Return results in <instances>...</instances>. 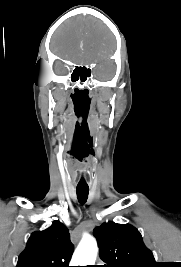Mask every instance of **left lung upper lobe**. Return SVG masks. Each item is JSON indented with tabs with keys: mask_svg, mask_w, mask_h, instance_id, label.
<instances>
[{
	"mask_svg": "<svg viewBox=\"0 0 181 267\" xmlns=\"http://www.w3.org/2000/svg\"><path fill=\"white\" fill-rule=\"evenodd\" d=\"M104 267H158L140 232L130 224L104 223L93 231Z\"/></svg>",
	"mask_w": 181,
	"mask_h": 267,
	"instance_id": "obj_1",
	"label": "left lung upper lobe"
}]
</instances>
